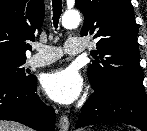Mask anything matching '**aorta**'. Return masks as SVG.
I'll return each instance as SVG.
<instances>
[{
	"mask_svg": "<svg viewBox=\"0 0 147 131\" xmlns=\"http://www.w3.org/2000/svg\"><path fill=\"white\" fill-rule=\"evenodd\" d=\"M80 23V14L77 11L65 12L62 17V26L67 29L75 28Z\"/></svg>",
	"mask_w": 147,
	"mask_h": 131,
	"instance_id": "aorta-1",
	"label": "aorta"
}]
</instances>
